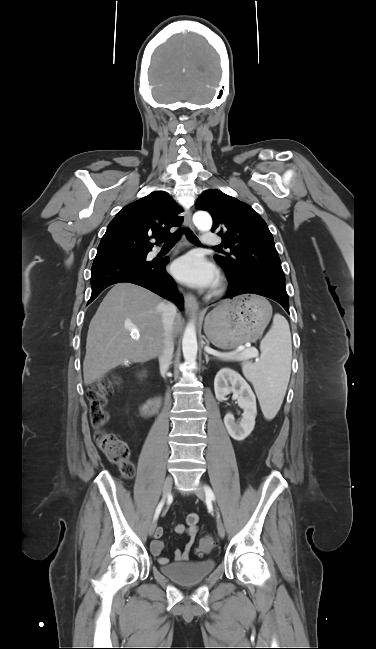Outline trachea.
<instances>
[{
  "mask_svg": "<svg viewBox=\"0 0 376 649\" xmlns=\"http://www.w3.org/2000/svg\"><path fill=\"white\" fill-rule=\"evenodd\" d=\"M186 233H187V238L191 243H193L195 245H198V246L201 245V243L199 242V239L196 237V235L191 230H189V229L186 230ZM178 240H179V235L176 234V233H174L171 236L163 238V241H164L165 245H175ZM215 248H217V246Z\"/></svg>",
  "mask_w": 376,
  "mask_h": 649,
  "instance_id": "trachea-1",
  "label": "trachea"
}]
</instances>
